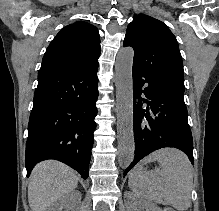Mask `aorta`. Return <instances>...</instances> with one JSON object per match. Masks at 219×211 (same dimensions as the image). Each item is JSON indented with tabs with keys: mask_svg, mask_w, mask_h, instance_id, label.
Returning <instances> with one entry per match:
<instances>
[{
	"mask_svg": "<svg viewBox=\"0 0 219 211\" xmlns=\"http://www.w3.org/2000/svg\"><path fill=\"white\" fill-rule=\"evenodd\" d=\"M134 50L122 48L116 57L115 85L118 136V163L127 168L134 159L135 141L133 130V67Z\"/></svg>",
	"mask_w": 219,
	"mask_h": 211,
	"instance_id": "aorta-1",
	"label": "aorta"
}]
</instances>
